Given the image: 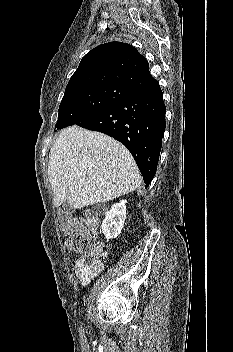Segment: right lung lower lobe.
Returning a JSON list of instances; mask_svg holds the SVG:
<instances>
[{"mask_svg": "<svg viewBox=\"0 0 233 352\" xmlns=\"http://www.w3.org/2000/svg\"><path fill=\"white\" fill-rule=\"evenodd\" d=\"M166 107L156 82L77 124L124 144L142 173L145 188L157 169L165 131Z\"/></svg>", "mask_w": 233, "mask_h": 352, "instance_id": "obj_1", "label": "right lung lower lobe"}]
</instances>
